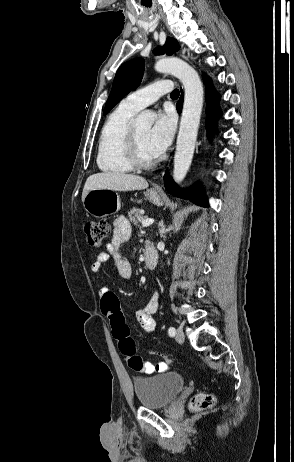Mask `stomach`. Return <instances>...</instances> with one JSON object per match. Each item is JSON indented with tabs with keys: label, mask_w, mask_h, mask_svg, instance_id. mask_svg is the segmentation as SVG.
<instances>
[{
	"label": "stomach",
	"mask_w": 294,
	"mask_h": 462,
	"mask_svg": "<svg viewBox=\"0 0 294 462\" xmlns=\"http://www.w3.org/2000/svg\"><path fill=\"white\" fill-rule=\"evenodd\" d=\"M145 195L153 204L163 205L162 198L154 189L147 190ZM83 206L87 213L96 218H102L117 213L121 208V203L119 195L113 190L92 189L86 194Z\"/></svg>",
	"instance_id": "obj_1"
}]
</instances>
